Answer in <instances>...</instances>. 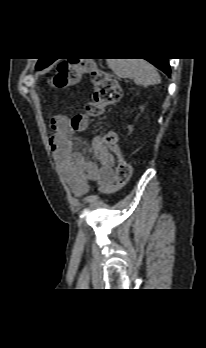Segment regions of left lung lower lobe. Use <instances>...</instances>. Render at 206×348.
I'll list each match as a JSON object with an SVG mask.
<instances>
[{"label": "left lung lower lobe", "mask_w": 206, "mask_h": 348, "mask_svg": "<svg viewBox=\"0 0 206 348\" xmlns=\"http://www.w3.org/2000/svg\"><path fill=\"white\" fill-rule=\"evenodd\" d=\"M150 63H152L154 66L162 70L164 73H166L168 76H170L171 70L169 66V62L167 58H161V59H147Z\"/></svg>", "instance_id": "left-lung-lower-lobe-1"}]
</instances>
